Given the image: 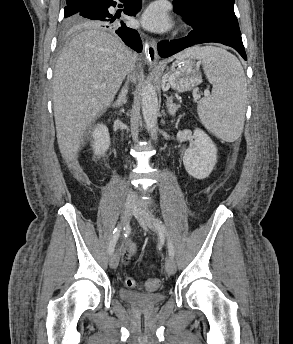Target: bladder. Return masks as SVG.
Wrapping results in <instances>:
<instances>
[{
	"label": "bladder",
	"mask_w": 293,
	"mask_h": 344,
	"mask_svg": "<svg viewBox=\"0 0 293 344\" xmlns=\"http://www.w3.org/2000/svg\"><path fill=\"white\" fill-rule=\"evenodd\" d=\"M120 298L127 303L135 306L152 309L160 305L164 301L163 293H142L126 288H121L119 291Z\"/></svg>",
	"instance_id": "1"
}]
</instances>
